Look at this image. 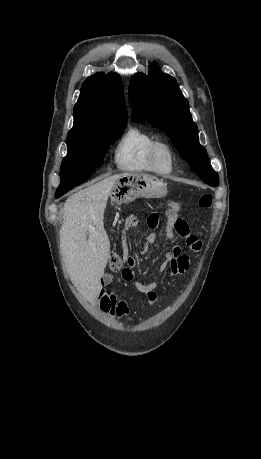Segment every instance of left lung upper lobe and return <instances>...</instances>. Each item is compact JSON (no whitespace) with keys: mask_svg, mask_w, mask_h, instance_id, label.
Masks as SVG:
<instances>
[{"mask_svg":"<svg viewBox=\"0 0 261 459\" xmlns=\"http://www.w3.org/2000/svg\"><path fill=\"white\" fill-rule=\"evenodd\" d=\"M128 98L135 122L148 121L163 130L204 182L213 187L219 185L206 149L199 143L197 125L192 120L188 101L173 77L160 72L157 67L147 76L137 73L130 80Z\"/></svg>","mask_w":261,"mask_h":459,"instance_id":"5c2ea615","label":"left lung upper lobe"}]
</instances>
